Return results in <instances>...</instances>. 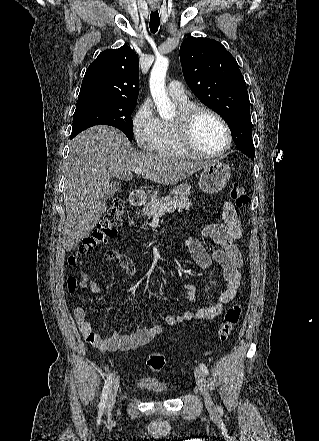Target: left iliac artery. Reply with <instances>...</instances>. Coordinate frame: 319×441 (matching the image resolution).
<instances>
[{"label": "left iliac artery", "mask_w": 319, "mask_h": 441, "mask_svg": "<svg viewBox=\"0 0 319 441\" xmlns=\"http://www.w3.org/2000/svg\"><path fill=\"white\" fill-rule=\"evenodd\" d=\"M200 369L207 375V374H209V371H208V369H207V367L205 366V364H203V363H200ZM218 409L220 410V407H218Z\"/></svg>", "instance_id": "44dca946"}]
</instances>
